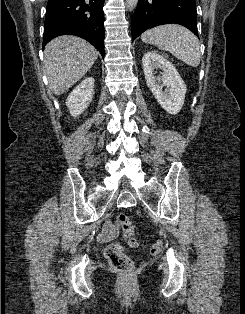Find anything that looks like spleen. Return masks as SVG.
I'll return each instance as SVG.
<instances>
[{
  "label": "spleen",
  "instance_id": "spleen-1",
  "mask_svg": "<svg viewBox=\"0 0 245 314\" xmlns=\"http://www.w3.org/2000/svg\"><path fill=\"white\" fill-rule=\"evenodd\" d=\"M141 40L171 53L191 67L200 64L198 38L183 26L176 24L157 26L145 31L141 35Z\"/></svg>",
  "mask_w": 245,
  "mask_h": 314
}]
</instances>
